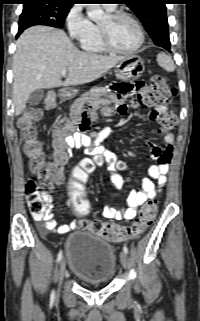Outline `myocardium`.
<instances>
[{
  "mask_svg": "<svg viewBox=\"0 0 200 321\" xmlns=\"http://www.w3.org/2000/svg\"><path fill=\"white\" fill-rule=\"evenodd\" d=\"M107 16L109 17V19L111 21H115V20L122 18V17L130 19L135 24V26L138 30L139 40H138L137 44L130 49H120L114 45L111 35H110L109 28L107 26L99 24V33H100V38H101V42H102L103 46L108 51L113 52V53H117V54H132V53L137 52L143 46V44L145 42V33H144L143 27H142L140 21L138 20V18L136 16H134L133 14H131L127 11H123V10H117V11L110 12Z\"/></svg>",
  "mask_w": 200,
  "mask_h": 321,
  "instance_id": "1",
  "label": "myocardium"
}]
</instances>
